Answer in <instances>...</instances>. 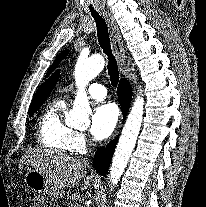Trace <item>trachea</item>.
<instances>
[{
	"mask_svg": "<svg viewBox=\"0 0 206 207\" xmlns=\"http://www.w3.org/2000/svg\"><path fill=\"white\" fill-rule=\"evenodd\" d=\"M91 14L96 22L98 42L104 53L108 56L107 69L111 84L116 87L119 82V71L117 61L112 54L107 25L105 20L96 11H91Z\"/></svg>",
	"mask_w": 206,
	"mask_h": 207,
	"instance_id": "trachea-1",
	"label": "trachea"
}]
</instances>
